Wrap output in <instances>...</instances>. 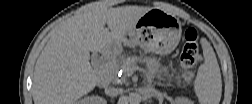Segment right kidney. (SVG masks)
Segmentation results:
<instances>
[{"label": "right kidney", "instance_id": "obj_1", "mask_svg": "<svg viewBox=\"0 0 252 104\" xmlns=\"http://www.w3.org/2000/svg\"><path fill=\"white\" fill-rule=\"evenodd\" d=\"M106 100L99 96H88L78 101V104H105Z\"/></svg>", "mask_w": 252, "mask_h": 104}]
</instances>
